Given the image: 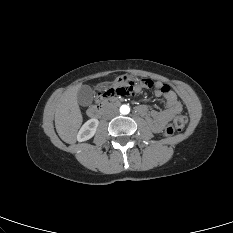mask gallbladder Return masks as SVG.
Returning a JSON list of instances; mask_svg holds the SVG:
<instances>
[{
  "mask_svg": "<svg viewBox=\"0 0 233 233\" xmlns=\"http://www.w3.org/2000/svg\"><path fill=\"white\" fill-rule=\"evenodd\" d=\"M77 100L78 103L82 106L90 105L93 101L92 89L87 85L81 86L77 93Z\"/></svg>",
  "mask_w": 233,
  "mask_h": 233,
  "instance_id": "gallbladder-1",
  "label": "gallbladder"
}]
</instances>
